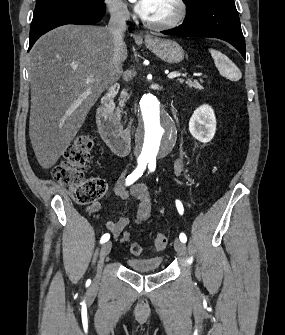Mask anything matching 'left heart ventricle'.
I'll return each mask as SVG.
<instances>
[{"label":"left heart ventricle","instance_id":"left-heart-ventricle-1","mask_svg":"<svg viewBox=\"0 0 285 335\" xmlns=\"http://www.w3.org/2000/svg\"><path fill=\"white\" fill-rule=\"evenodd\" d=\"M175 13L176 10L171 1H153V9L148 22L160 24L172 18Z\"/></svg>","mask_w":285,"mask_h":335}]
</instances>
